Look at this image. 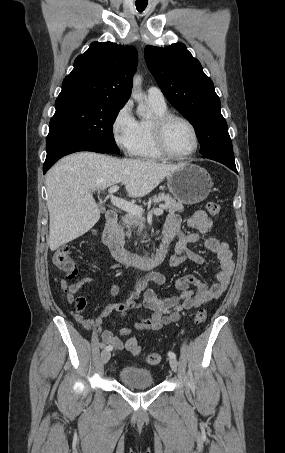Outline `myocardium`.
<instances>
[{"label":"myocardium","mask_w":285,"mask_h":453,"mask_svg":"<svg viewBox=\"0 0 285 453\" xmlns=\"http://www.w3.org/2000/svg\"><path fill=\"white\" fill-rule=\"evenodd\" d=\"M174 120H179V121L184 122L191 129V131L193 133L194 147L191 151H189L186 154H181V155L175 154L169 149V147L167 145V140H166L167 128H168L169 124ZM152 132H153V138H154L155 145L164 157H167L170 159H175V160L187 159V158L193 156L199 148L200 139H199V134H198V131H197L195 125L188 118H186L182 115L167 112V113L155 116L152 119Z\"/></svg>","instance_id":"1"}]
</instances>
